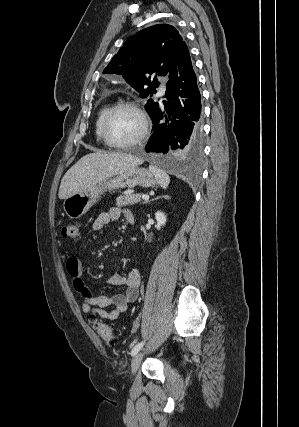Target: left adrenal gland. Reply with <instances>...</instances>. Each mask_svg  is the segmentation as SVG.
Here are the masks:
<instances>
[{
	"label": "left adrenal gland",
	"instance_id": "obj_1",
	"mask_svg": "<svg viewBox=\"0 0 299 427\" xmlns=\"http://www.w3.org/2000/svg\"><path fill=\"white\" fill-rule=\"evenodd\" d=\"M164 198H170L168 195H165V196H163ZM159 198H161V197H157V198H155V199H152V200H157V199H159ZM152 200H150L149 202H151Z\"/></svg>",
	"mask_w": 299,
	"mask_h": 427
}]
</instances>
